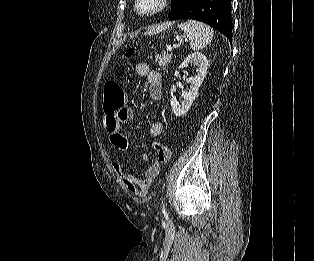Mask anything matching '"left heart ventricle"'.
Returning a JSON list of instances; mask_svg holds the SVG:
<instances>
[{"mask_svg":"<svg viewBox=\"0 0 314 261\" xmlns=\"http://www.w3.org/2000/svg\"><path fill=\"white\" fill-rule=\"evenodd\" d=\"M158 0H141L140 8L143 10H149L156 6Z\"/></svg>","mask_w":314,"mask_h":261,"instance_id":"b2bd125f","label":"left heart ventricle"}]
</instances>
